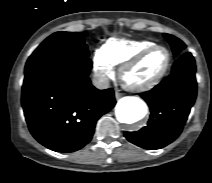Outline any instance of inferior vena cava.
Listing matches in <instances>:
<instances>
[{
	"label": "inferior vena cava",
	"mask_w": 212,
	"mask_h": 183,
	"mask_svg": "<svg viewBox=\"0 0 212 183\" xmlns=\"http://www.w3.org/2000/svg\"><path fill=\"white\" fill-rule=\"evenodd\" d=\"M93 85L98 89H106L109 87V78L104 74L97 73L93 78Z\"/></svg>",
	"instance_id": "602c4592"
}]
</instances>
